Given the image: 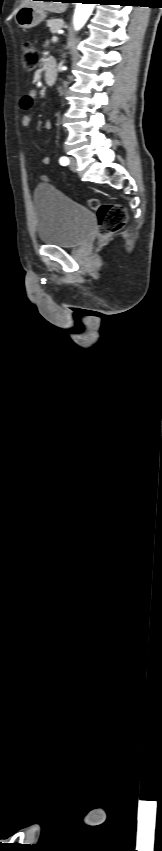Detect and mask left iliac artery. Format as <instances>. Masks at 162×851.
<instances>
[{"label": "left iliac artery", "mask_w": 162, "mask_h": 851, "mask_svg": "<svg viewBox=\"0 0 162 851\" xmlns=\"http://www.w3.org/2000/svg\"><path fill=\"white\" fill-rule=\"evenodd\" d=\"M60 164H61V165H63V166L68 165V164H69V159H68L67 157H61V158H60Z\"/></svg>", "instance_id": "obj_1"}]
</instances>
